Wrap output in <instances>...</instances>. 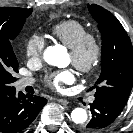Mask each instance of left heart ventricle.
<instances>
[{
  "mask_svg": "<svg viewBox=\"0 0 133 133\" xmlns=\"http://www.w3.org/2000/svg\"><path fill=\"white\" fill-rule=\"evenodd\" d=\"M90 52H91L90 49H88L86 55L88 56L90 54ZM69 58H70V61L72 62L73 61V57H72V55L70 53H69Z\"/></svg>",
  "mask_w": 133,
  "mask_h": 133,
  "instance_id": "left-heart-ventricle-1",
  "label": "left heart ventricle"
}]
</instances>
